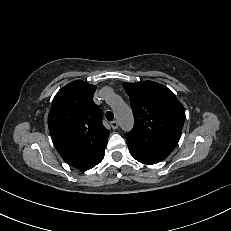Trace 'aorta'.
<instances>
[{"mask_svg":"<svg viewBox=\"0 0 231 231\" xmlns=\"http://www.w3.org/2000/svg\"><path fill=\"white\" fill-rule=\"evenodd\" d=\"M111 105L115 111L121 128L124 131H130L133 127V114L131 108L117 95L112 96Z\"/></svg>","mask_w":231,"mask_h":231,"instance_id":"aorta-1","label":"aorta"}]
</instances>
